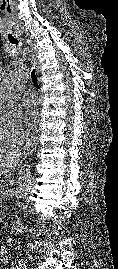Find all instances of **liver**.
Returning a JSON list of instances; mask_svg holds the SVG:
<instances>
[{"label":"liver","instance_id":"liver-1","mask_svg":"<svg viewBox=\"0 0 118 269\" xmlns=\"http://www.w3.org/2000/svg\"><path fill=\"white\" fill-rule=\"evenodd\" d=\"M22 163V156L13 150H1L0 152V176L6 169L15 170Z\"/></svg>","mask_w":118,"mask_h":269}]
</instances>
